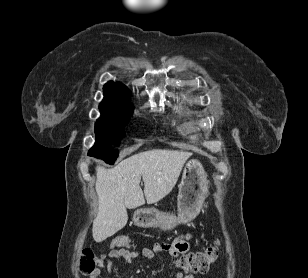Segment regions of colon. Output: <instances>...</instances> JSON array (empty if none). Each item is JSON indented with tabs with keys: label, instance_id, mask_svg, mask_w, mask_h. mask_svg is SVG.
Instances as JSON below:
<instances>
[{
	"label": "colon",
	"instance_id": "1",
	"mask_svg": "<svg viewBox=\"0 0 308 278\" xmlns=\"http://www.w3.org/2000/svg\"><path fill=\"white\" fill-rule=\"evenodd\" d=\"M130 239L125 236H117L110 245L112 250L117 247H128ZM218 257L217 244L212 245L206 249L186 253L177 260L178 267L186 273H204L211 265L215 263ZM101 266L100 256L95 254L91 249L85 248L82 251L80 270L83 275L92 278L97 274Z\"/></svg>",
	"mask_w": 308,
	"mask_h": 278
}]
</instances>
